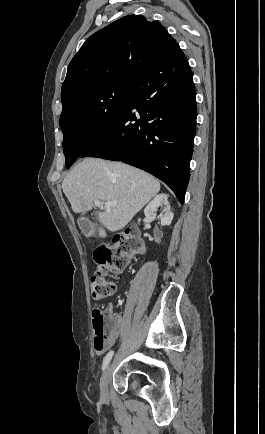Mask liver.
<instances>
[{
	"label": "liver",
	"mask_w": 265,
	"mask_h": 434,
	"mask_svg": "<svg viewBox=\"0 0 265 434\" xmlns=\"http://www.w3.org/2000/svg\"><path fill=\"white\" fill-rule=\"evenodd\" d=\"M62 190L75 214L92 210L95 200L118 202L98 218L110 232L122 230L158 192L160 184L146 172L121 162H105L99 158H83L62 182ZM99 236L106 238L100 228Z\"/></svg>",
	"instance_id": "6515ba94"
}]
</instances>
